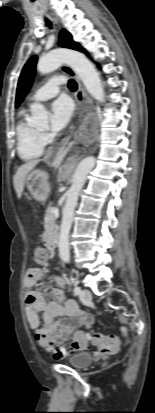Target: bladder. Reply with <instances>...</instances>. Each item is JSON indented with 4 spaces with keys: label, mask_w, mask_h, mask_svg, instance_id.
Returning <instances> with one entry per match:
<instances>
[{
    "label": "bladder",
    "mask_w": 155,
    "mask_h": 413,
    "mask_svg": "<svg viewBox=\"0 0 155 413\" xmlns=\"http://www.w3.org/2000/svg\"><path fill=\"white\" fill-rule=\"evenodd\" d=\"M93 356L88 353H79L73 355L69 360L68 363L71 367L75 369H85L89 367L93 363Z\"/></svg>",
    "instance_id": "obj_1"
}]
</instances>
